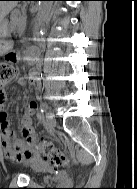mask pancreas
I'll return each instance as SVG.
<instances>
[{"label": "pancreas", "mask_w": 137, "mask_h": 189, "mask_svg": "<svg viewBox=\"0 0 137 189\" xmlns=\"http://www.w3.org/2000/svg\"><path fill=\"white\" fill-rule=\"evenodd\" d=\"M25 20L24 11L20 9H14L11 13V23L13 27L18 26Z\"/></svg>", "instance_id": "1"}]
</instances>
